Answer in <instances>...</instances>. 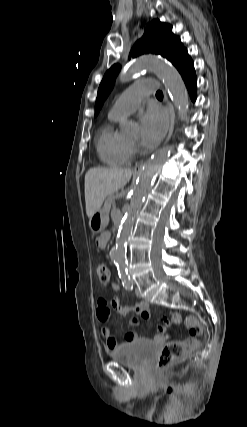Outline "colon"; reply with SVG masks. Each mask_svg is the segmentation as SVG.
Listing matches in <instances>:
<instances>
[{
    "label": "colon",
    "instance_id": "obj_1",
    "mask_svg": "<svg viewBox=\"0 0 247 427\" xmlns=\"http://www.w3.org/2000/svg\"><path fill=\"white\" fill-rule=\"evenodd\" d=\"M95 268L101 283L107 285L110 281V270L107 264L99 261L96 263ZM185 326L190 333V338L182 342L167 343L157 358L156 367L158 369L171 365L198 348L200 344L199 337L203 331L201 324L196 318L189 316L185 319Z\"/></svg>",
    "mask_w": 247,
    "mask_h": 427
}]
</instances>
